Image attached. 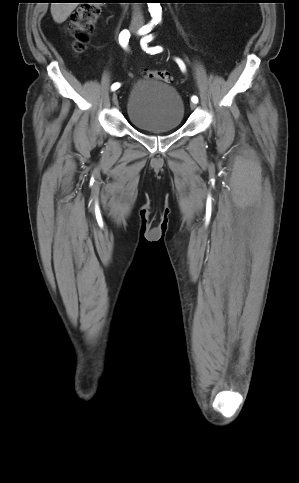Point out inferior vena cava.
<instances>
[{
    "mask_svg": "<svg viewBox=\"0 0 299 483\" xmlns=\"http://www.w3.org/2000/svg\"><path fill=\"white\" fill-rule=\"evenodd\" d=\"M144 24V17L140 6L135 3L133 7V15L131 21V27L134 29H139Z\"/></svg>",
    "mask_w": 299,
    "mask_h": 483,
    "instance_id": "1",
    "label": "inferior vena cava"
}]
</instances>
